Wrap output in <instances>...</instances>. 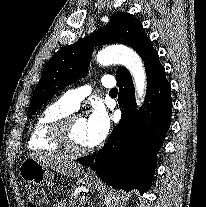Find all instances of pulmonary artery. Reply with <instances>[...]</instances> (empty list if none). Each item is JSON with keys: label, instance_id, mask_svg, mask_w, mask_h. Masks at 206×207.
<instances>
[{"label": "pulmonary artery", "instance_id": "obj_1", "mask_svg": "<svg viewBox=\"0 0 206 207\" xmlns=\"http://www.w3.org/2000/svg\"><path fill=\"white\" fill-rule=\"evenodd\" d=\"M103 86L107 88H112L114 86V78L111 75H104L102 78ZM92 91V87L89 85L82 86L77 89L68 90L64 96L63 100L65 103L73 110L78 109L81 101L88 96Z\"/></svg>", "mask_w": 206, "mask_h": 207}]
</instances>
